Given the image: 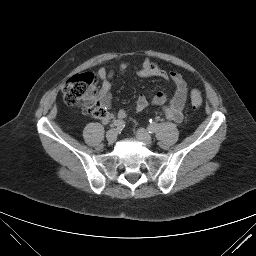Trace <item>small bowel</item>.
<instances>
[{
    "instance_id": "small-bowel-1",
    "label": "small bowel",
    "mask_w": 256,
    "mask_h": 256,
    "mask_svg": "<svg viewBox=\"0 0 256 256\" xmlns=\"http://www.w3.org/2000/svg\"><path fill=\"white\" fill-rule=\"evenodd\" d=\"M126 64L120 66V72H123ZM141 78H161L171 81L175 86V91L171 99H168L164 92H157L149 99L146 95L140 94L136 100L135 110L141 112L145 110L150 104L161 107L167 119L174 122H181L183 119V108L186 103L188 95V85L183 76L176 71H166L158 63L151 61L148 57L144 61L137 72ZM99 78L101 79V89L96 94V100L100 101L106 109V114L103 117L104 122L112 120L114 117L123 119L127 113L125 110L120 109L116 113L112 111V97L111 88L114 73L105 68H100L98 71Z\"/></svg>"
}]
</instances>
